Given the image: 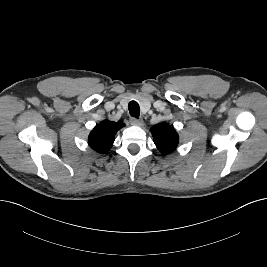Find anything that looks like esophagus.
<instances>
[{"label":"esophagus","instance_id":"esophagus-1","mask_svg":"<svg viewBox=\"0 0 267 267\" xmlns=\"http://www.w3.org/2000/svg\"><path fill=\"white\" fill-rule=\"evenodd\" d=\"M131 125L134 126H142L143 125V120L142 119H136V118H131L130 119Z\"/></svg>","mask_w":267,"mask_h":267}]
</instances>
